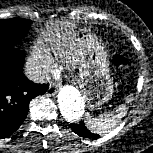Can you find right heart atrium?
Masks as SVG:
<instances>
[{
    "mask_svg": "<svg viewBox=\"0 0 153 153\" xmlns=\"http://www.w3.org/2000/svg\"><path fill=\"white\" fill-rule=\"evenodd\" d=\"M28 66L35 76L44 78L54 68L50 55L39 45H35L28 58Z\"/></svg>",
    "mask_w": 153,
    "mask_h": 153,
    "instance_id": "right-heart-atrium-1",
    "label": "right heart atrium"
}]
</instances>
